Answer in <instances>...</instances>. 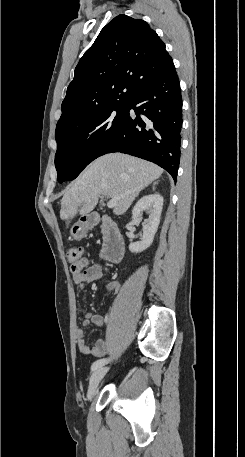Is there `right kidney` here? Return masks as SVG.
<instances>
[{
	"mask_svg": "<svg viewBox=\"0 0 245 457\" xmlns=\"http://www.w3.org/2000/svg\"><path fill=\"white\" fill-rule=\"evenodd\" d=\"M163 208V196L159 192L154 194H146L136 202L132 210L133 220H142L143 212L149 214V218H145L143 222V239L138 243H130L129 251L131 253H141L147 247H150L154 241V235L157 233L158 224Z\"/></svg>",
	"mask_w": 245,
	"mask_h": 457,
	"instance_id": "obj_1",
	"label": "right kidney"
}]
</instances>
